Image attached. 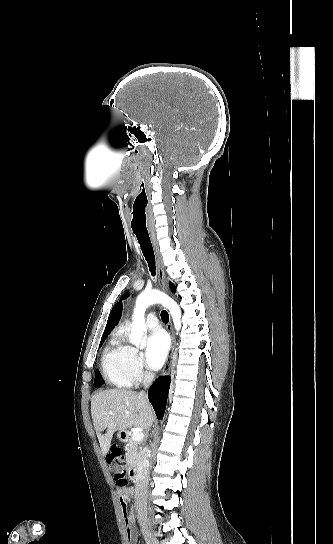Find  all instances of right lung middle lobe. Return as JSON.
<instances>
[{"mask_svg":"<svg viewBox=\"0 0 333 544\" xmlns=\"http://www.w3.org/2000/svg\"><path fill=\"white\" fill-rule=\"evenodd\" d=\"M105 339H106V338H102V339H101L100 347L102 346V344H103V342H104ZM94 384H95V387H97V388H99V387H101V386L103 385V379H102V377H101V375H100V373H99L98 370H97L96 373H95V381H94Z\"/></svg>","mask_w":333,"mask_h":544,"instance_id":"dd1d6c3e","label":"right lung middle lobe"}]
</instances>
